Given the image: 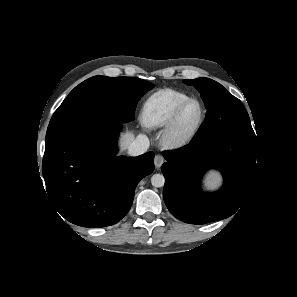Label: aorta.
Returning a JSON list of instances; mask_svg holds the SVG:
<instances>
[{"label": "aorta", "mask_w": 297, "mask_h": 297, "mask_svg": "<svg viewBox=\"0 0 297 297\" xmlns=\"http://www.w3.org/2000/svg\"><path fill=\"white\" fill-rule=\"evenodd\" d=\"M164 183H165V178L162 174H154L151 177V184L154 187H158V188L163 187Z\"/></svg>", "instance_id": "aorta-1"}]
</instances>
